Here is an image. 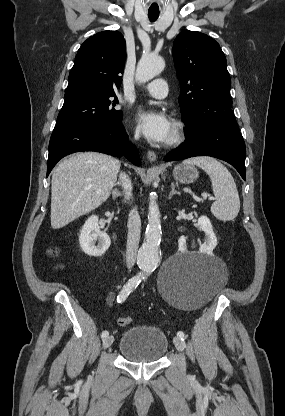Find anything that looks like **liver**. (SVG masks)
I'll return each mask as SVG.
<instances>
[{
    "mask_svg": "<svg viewBox=\"0 0 285 416\" xmlns=\"http://www.w3.org/2000/svg\"><path fill=\"white\" fill-rule=\"evenodd\" d=\"M119 170V160L97 152L75 154L63 160L52 176V228H64L106 202Z\"/></svg>",
    "mask_w": 285,
    "mask_h": 416,
    "instance_id": "liver-1",
    "label": "liver"
}]
</instances>
